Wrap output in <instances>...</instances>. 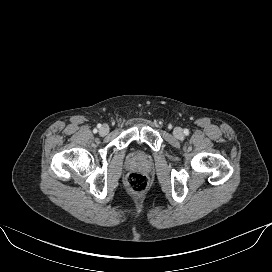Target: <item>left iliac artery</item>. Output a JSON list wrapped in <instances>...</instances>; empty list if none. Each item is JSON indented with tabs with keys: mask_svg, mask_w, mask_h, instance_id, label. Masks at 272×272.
<instances>
[{
	"mask_svg": "<svg viewBox=\"0 0 272 272\" xmlns=\"http://www.w3.org/2000/svg\"><path fill=\"white\" fill-rule=\"evenodd\" d=\"M184 133H185V134H188V133H189V131H188L187 129H185V130H184Z\"/></svg>",
	"mask_w": 272,
	"mask_h": 272,
	"instance_id": "obj_1",
	"label": "left iliac artery"
}]
</instances>
